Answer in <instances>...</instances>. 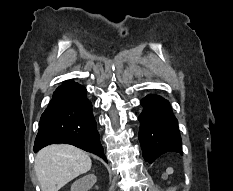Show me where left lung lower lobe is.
Listing matches in <instances>:
<instances>
[{
  "mask_svg": "<svg viewBox=\"0 0 233 191\" xmlns=\"http://www.w3.org/2000/svg\"><path fill=\"white\" fill-rule=\"evenodd\" d=\"M144 109L140 121L139 140L146 162L152 163L166 153L182 154L178 123L167 100L147 95L141 100Z\"/></svg>",
  "mask_w": 233,
  "mask_h": 191,
  "instance_id": "0a47b994",
  "label": "left lung lower lobe"
}]
</instances>
